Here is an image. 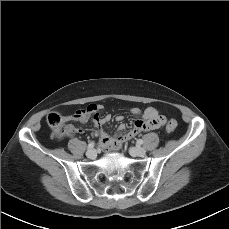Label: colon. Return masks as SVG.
<instances>
[{
    "mask_svg": "<svg viewBox=\"0 0 229 229\" xmlns=\"http://www.w3.org/2000/svg\"><path fill=\"white\" fill-rule=\"evenodd\" d=\"M97 110L95 105H89L86 109L83 110L84 113L91 114ZM148 127H158L164 122L163 116L157 113L154 109H149L148 112ZM47 123L50 128L53 130L57 137H62L65 135L68 126L62 121L61 116L56 111H51L47 116ZM166 130L168 132H173L177 128V123L174 120H170L166 123Z\"/></svg>",
    "mask_w": 229,
    "mask_h": 229,
    "instance_id": "colon-1",
    "label": "colon"
}]
</instances>
